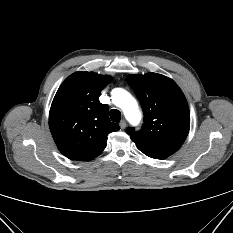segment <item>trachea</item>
Segmentation results:
<instances>
[{
  "label": "trachea",
  "mask_w": 233,
  "mask_h": 233,
  "mask_svg": "<svg viewBox=\"0 0 233 233\" xmlns=\"http://www.w3.org/2000/svg\"><path fill=\"white\" fill-rule=\"evenodd\" d=\"M110 118L112 119L113 122H120L121 120V113L119 110L112 109L110 111Z\"/></svg>",
  "instance_id": "3493384b"
}]
</instances>
